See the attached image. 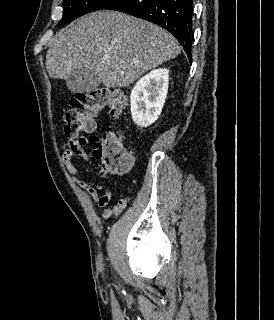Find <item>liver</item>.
<instances>
[{
  "label": "liver",
  "mask_w": 274,
  "mask_h": 320,
  "mask_svg": "<svg viewBox=\"0 0 274 320\" xmlns=\"http://www.w3.org/2000/svg\"><path fill=\"white\" fill-rule=\"evenodd\" d=\"M181 54L174 36L156 24L123 12L100 10L74 20L50 40L46 70L50 78L72 80L94 72L106 88H127L163 62Z\"/></svg>",
  "instance_id": "1"
}]
</instances>
